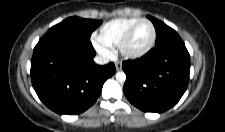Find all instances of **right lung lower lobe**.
<instances>
[{
	"instance_id": "98d812e1",
	"label": "right lung lower lobe",
	"mask_w": 225,
	"mask_h": 132,
	"mask_svg": "<svg viewBox=\"0 0 225 132\" xmlns=\"http://www.w3.org/2000/svg\"><path fill=\"white\" fill-rule=\"evenodd\" d=\"M88 40L42 37L34 48L31 81L40 100L58 114H80L99 97L115 72L113 63L95 64Z\"/></svg>"
}]
</instances>
